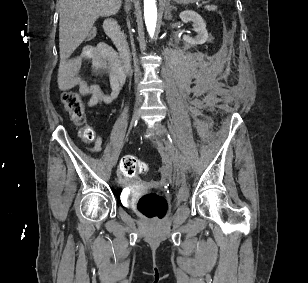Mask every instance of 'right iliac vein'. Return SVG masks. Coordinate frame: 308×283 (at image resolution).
I'll return each instance as SVG.
<instances>
[{
	"label": "right iliac vein",
	"instance_id": "obj_1",
	"mask_svg": "<svg viewBox=\"0 0 308 283\" xmlns=\"http://www.w3.org/2000/svg\"><path fill=\"white\" fill-rule=\"evenodd\" d=\"M140 103H141V99L138 98L136 100V103H135V108H134V113H133V117H132L130 128L135 124V122L138 119L137 112H138V108L140 106ZM118 157H119V152H117V154H116V158H115L116 161H117Z\"/></svg>",
	"mask_w": 308,
	"mask_h": 283
}]
</instances>
